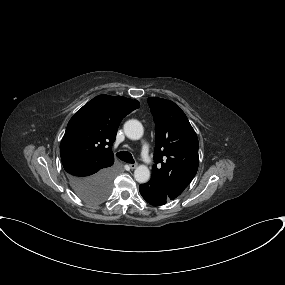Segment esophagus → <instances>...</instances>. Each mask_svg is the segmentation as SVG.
<instances>
[{
    "instance_id": "34e87169",
    "label": "esophagus",
    "mask_w": 285,
    "mask_h": 285,
    "mask_svg": "<svg viewBox=\"0 0 285 285\" xmlns=\"http://www.w3.org/2000/svg\"><path fill=\"white\" fill-rule=\"evenodd\" d=\"M129 167L131 169H135L137 167V163H131V164H129Z\"/></svg>"
}]
</instances>
